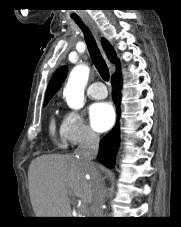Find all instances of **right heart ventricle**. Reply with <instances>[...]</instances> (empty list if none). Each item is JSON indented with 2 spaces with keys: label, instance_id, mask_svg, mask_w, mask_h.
Here are the masks:
<instances>
[{
  "label": "right heart ventricle",
  "instance_id": "e07e8e85",
  "mask_svg": "<svg viewBox=\"0 0 181 227\" xmlns=\"http://www.w3.org/2000/svg\"><path fill=\"white\" fill-rule=\"evenodd\" d=\"M55 131H56L55 120H54V118H52L51 123H50V133H51L52 136H55ZM61 140L62 141L60 143V146L61 147H65V141H64V139L62 138Z\"/></svg>",
  "mask_w": 181,
  "mask_h": 227
}]
</instances>
